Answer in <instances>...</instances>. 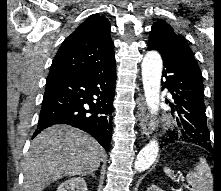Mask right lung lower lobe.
Returning <instances> with one entry per match:
<instances>
[{
    "mask_svg": "<svg viewBox=\"0 0 221 191\" xmlns=\"http://www.w3.org/2000/svg\"><path fill=\"white\" fill-rule=\"evenodd\" d=\"M115 81V65L47 80L38 128L32 138L54 124H67L86 131L109 150Z\"/></svg>",
    "mask_w": 221,
    "mask_h": 191,
    "instance_id": "obj_1",
    "label": "right lung lower lobe"
}]
</instances>
